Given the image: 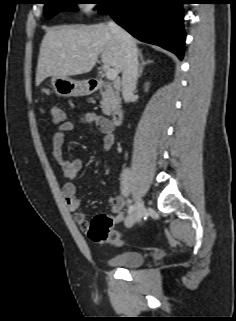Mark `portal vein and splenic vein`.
Returning a JSON list of instances; mask_svg holds the SVG:
<instances>
[{
  "mask_svg": "<svg viewBox=\"0 0 236 321\" xmlns=\"http://www.w3.org/2000/svg\"><path fill=\"white\" fill-rule=\"evenodd\" d=\"M117 76H118V72L115 69H113V68H107L106 69V77H107V79L114 80V79L117 78Z\"/></svg>",
  "mask_w": 236,
  "mask_h": 321,
  "instance_id": "1",
  "label": "portal vein and splenic vein"
}]
</instances>
